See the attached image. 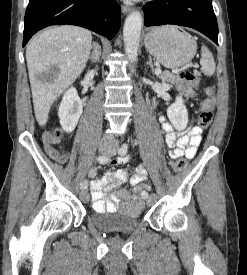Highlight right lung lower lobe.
Instances as JSON below:
<instances>
[{"label": "right lung lower lobe", "mask_w": 247, "mask_h": 275, "mask_svg": "<svg viewBox=\"0 0 247 275\" xmlns=\"http://www.w3.org/2000/svg\"><path fill=\"white\" fill-rule=\"evenodd\" d=\"M77 25L112 39L121 25V8L114 0H29L23 46L51 25Z\"/></svg>", "instance_id": "obj_1"}]
</instances>
